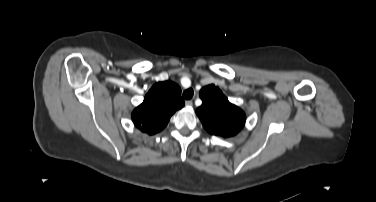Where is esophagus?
<instances>
[{
	"mask_svg": "<svg viewBox=\"0 0 376 202\" xmlns=\"http://www.w3.org/2000/svg\"><path fill=\"white\" fill-rule=\"evenodd\" d=\"M185 105H186L187 107H191V106L193 105L192 100H187V101L185 102Z\"/></svg>",
	"mask_w": 376,
	"mask_h": 202,
	"instance_id": "esophagus-1",
	"label": "esophagus"
}]
</instances>
